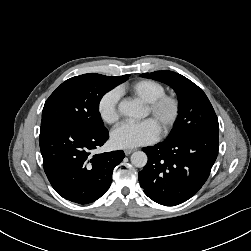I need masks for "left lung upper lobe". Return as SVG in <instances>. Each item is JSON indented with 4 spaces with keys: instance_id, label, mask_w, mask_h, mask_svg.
<instances>
[{
    "instance_id": "1",
    "label": "left lung upper lobe",
    "mask_w": 251,
    "mask_h": 251,
    "mask_svg": "<svg viewBox=\"0 0 251 251\" xmlns=\"http://www.w3.org/2000/svg\"><path fill=\"white\" fill-rule=\"evenodd\" d=\"M141 76L163 82L177 93L179 114L165 141H177L198 132H219L218 119L209 99L192 81L167 70L144 73Z\"/></svg>"
}]
</instances>
